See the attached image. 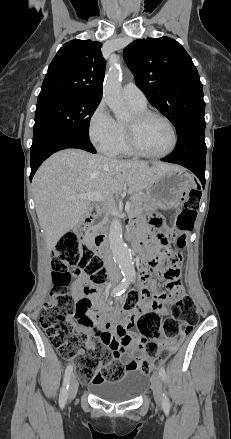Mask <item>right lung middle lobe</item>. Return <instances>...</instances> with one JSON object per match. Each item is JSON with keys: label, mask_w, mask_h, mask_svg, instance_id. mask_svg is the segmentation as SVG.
Masks as SVG:
<instances>
[{"label": "right lung middle lobe", "mask_w": 231, "mask_h": 439, "mask_svg": "<svg viewBox=\"0 0 231 439\" xmlns=\"http://www.w3.org/2000/svg\"><path fill=\"white\" fill-rule=\"evenodd\" d=\"M99 103L100 100L80 96H57L38 100L32 146L62 131L89 139L90 119Z\"/></svg>", "instance_id": "obj_1"}]
</instances>
